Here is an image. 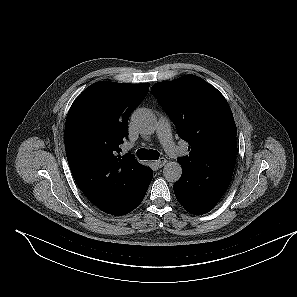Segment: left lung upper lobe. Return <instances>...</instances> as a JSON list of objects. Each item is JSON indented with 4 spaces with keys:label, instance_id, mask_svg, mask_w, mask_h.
<instances>
[{
    "label": "left lung upper lobe",
    "instance_id": "1",
    "mask_svg": "<svg viewBox=\"0 0 297 297\" xmlns=\"http://www.w3.org/2000/svg\"><path fill=\"white\" fill-rule=\"evenodd\" d=\"M151 92L189 144V155L177 159L188 177L186 199L225 193L235 167L237 131L224 96L191 74L155 83Z\"/></svg>",
    "mask_w": 297,
    "mask_h": 297
}]
</instances>
